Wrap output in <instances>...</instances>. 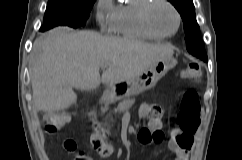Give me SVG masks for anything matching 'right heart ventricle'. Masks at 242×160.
I'll use <instances>...</instances> for the list:
<instances>
[{"mask_svg": "<svg viewBox=\"0 0 242 160\" xmlns=\"http://www.w3.org/2000/svg\"><path fill=\"white\" fill-rule=\"evenodd\" d=\"M147 0H128L116 6L112 32L120 37L136 40L160 39L147 33L139 21V10Z\"/></svg>", "mask_w": 242, "mask_h": 160, "instance_id": "obj_1", "label": "right heart ventricle"}]
</instances>
